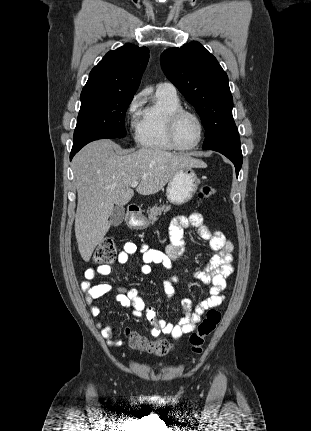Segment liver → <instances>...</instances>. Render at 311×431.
<instances>
[{
	"instance_id": "1",
	"label": "liver",
	"mask_w": 311,
	"mask_h": 431,
	"mask_svg": "<svg viewBox=\"0 0 311 431\" xmlns=\"http://www.w3.org/2000/svg\"><path fill=\"white\" fill-rule=\"evenodd\" d=\"M182 168H207L189 154H171L158 148L123 150L112 140H97L82 148L72 162L78 194L75 235L79 253L89 261L96 245L104 239L114 206H127L136 192L151 196L163 190Z\"/></svg>"
}]
</instances>
